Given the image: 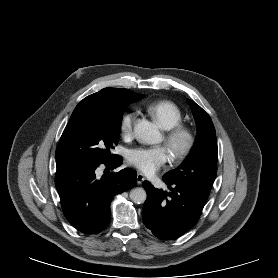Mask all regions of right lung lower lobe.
I'll use <instances>...</instances> for the list:
<instances>
[{"instance_id":"obj_1","label":"right lung lower lobe","mask_w":278,"mask_h":278,"mask_svg":"<svg viewBox=\"0 0 278 278\" xmlns=\"http://www.w3.org/2000/svg\"><path fill=\"white\" fill-rule=\"evenodd\" d=\"M122 162V157L117 155L100 163L57 169L55 185L64 215L79 231L95 234L105 229L111 217L113 196L136 185L137 173L130 168L104 174L99 179L96 177L95 170L100 164L113 169Z\"/></svg>"}]
</instances>
